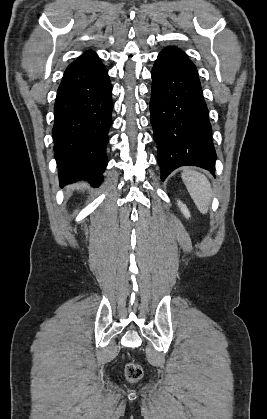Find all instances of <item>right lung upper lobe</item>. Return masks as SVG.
<instances>
[{
  "label": "right lung upper lobe",
  "mask_w": 267,
  "mask_h": 419,
  "mask_svg": "<svg viewBox=\"0 0 267 419\" xmlns=\"http://www.w3.org/2000/svg\"><path fill=\"white\" fill-rule=\"evenodd\" d=\"M76 61H84V62H96L101 61L100 58L94 52H86L82 56L78 57Z\"/></svg>",
  "instance_id": "right-lung-upper-lobe-1"
}]
</instances>
